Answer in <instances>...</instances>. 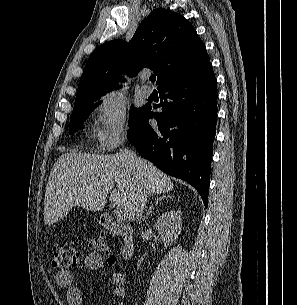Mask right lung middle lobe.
I'll return each mask as SVG.
<instances>
[{"label": "right lung middle lobe", "instance_id": "obj_1", "mask_svg": "<svg viewBox=\"0 0 297 305\" xmlns=\"http://www.w3.org/2000/svg\"><path fill=\"white\" fill-rule=\"evenodd\" d=\"M100 97H90L80 101H76L73 108V113L70 118V126L69 132L74 133L79 129H82V123L88 118L90 115V111L93 108H96L100 103H94ZM145 106L142 108H131L130 116H129V125L132 126L142 115L144 112Z\"/></svg>", "mask_w": 297, "mask_h": 305}]
</instances>
